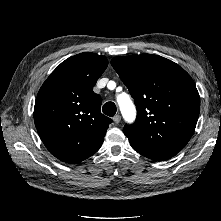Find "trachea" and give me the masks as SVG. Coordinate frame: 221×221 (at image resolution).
Instances as JSON below:
<instances>
[{
    "label": "trachea",
    "instance_id": "obj_1",
    "mask_svg": "<svg viewBox=\"0 0 221 221\" xmlns=\"http://www.w3.org/2000/svg\"><path fill=\"white\" fill-rule=\"evenodd\" d=\"M102 110L105 115L112 117L115 115L117 108L113 102H107L104 104Z\"/></svg>",
    "mask_w": 221,
    "mask_h": 221
}]
</instances>
